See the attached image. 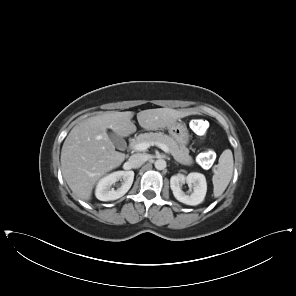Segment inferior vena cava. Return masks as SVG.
<instances>
[{"mask_svg": "<svg viewBox=\"0 0 296 296\" xmlns=\"http://www.w3.org/2000/svg\"><path fill=\"white\" fill-rule=\"evenodd\" d=\"M146 161V157L143 154L137 153L130 156L127 165L129 168H138Z\"/></svg>", "mask_w": 296, "mask_h": 296, "instance_id": "1", "label": "inferior vena cava"}]
</instances>
